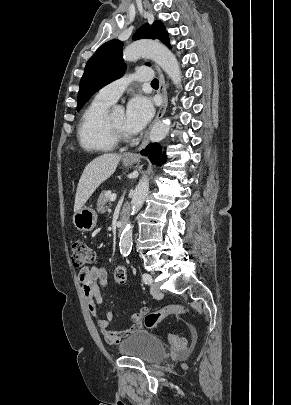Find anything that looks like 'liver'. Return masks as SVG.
<instances>
[{
    "mask_svg": "<svg viewBox=\"0 0 291 405\" xmlns=\"http://www.w3.org/2000/svg\"><path fill=\"white\" fill-rule=\"evenodd\" d=\"M121 157L119 154H103L85 167L77 186L74 213L78 212L100 184L115 172Z\"/></svg>",
    "mask_w": 291,
    "mask_h": 405,
    "instance_id": "obj_1",
    "label": "liver"
}]
</instances>
